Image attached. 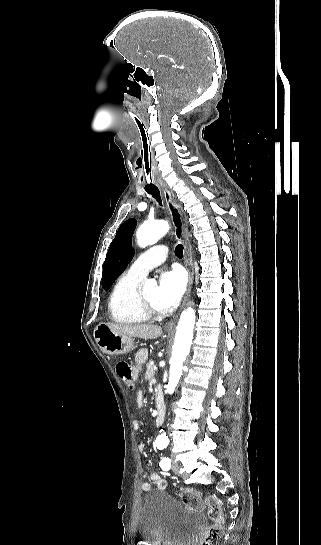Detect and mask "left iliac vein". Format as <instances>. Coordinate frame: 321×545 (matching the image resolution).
I'll return each mask as SVG.
<instances>
[{
  "instance_id": "1",
  "label": "left iliac vein",
  "mask_w": 321,
  "mask_h": 545,
  "mask_svg": "<svg viewBox=\"0 0 321 545\" xmlns=\"http://www.w3.org/2000/svg\"><path fill=\"white\" fill-rule=\"evenodd\" d=\"M172 471L174 474L179 475L180 466L176 461H172Z\"/></svg>"
}]
</instances>
